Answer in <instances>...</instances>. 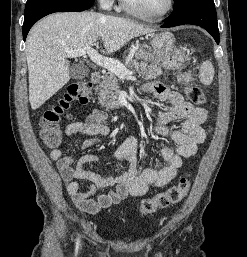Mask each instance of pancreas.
<instances>
[{"instance_id":"cf45deb5","label":"pancreas","mask_w":247,"mask_h":257,"mask_svg":"<svg viewBox=\"0 0 247 257\" xmlns=\"http://www.w3.org/2000/svg\"><path fill=\"white\" fill-rule=\"evenodd\" d=\"M125 66L135 71L144 79L152 80L162 74V70L155 63L149 64L148 61H137L136 59H129L125 62ZM98 103L107 109L119 108V79L117 76L108 72L102 77V81L97 87Z\"/></svg>"}]
</instances>
